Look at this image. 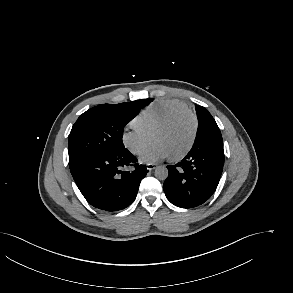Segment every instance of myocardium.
Masks as SVG:
<instances>
[{
    "instance_id": "myocardium-1",
    "label": "myocardium",
    "mask_w": 293,
    "mask_h": 293,
    "mask_svg": "<svg viewBox=\"0 0 293 293\" xmlns=\"http://www.w3.org/2000/svg\"><path fill=\"white\" fill-rule=\"evenodd\" d=\"M183 117H190L193 123V133H192V138L191 141L189 143V145L186 147V149L184 151H182L181 153L175 155V156H171L170 159L172 161H179L182 160L183 158H185L193 149L196 140H197V136H198V129H199V121L197 118V115L191 111V110H184V111H180L177 112L175 114H173L172 116H170L166 121H164L161 125H159L154 132L152 133V137L161 131H164L168 128H170L173 124H175L179 119L183 118Z\"/></svg>"
}]
</instances>
